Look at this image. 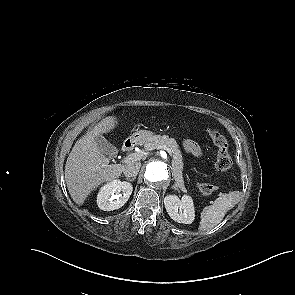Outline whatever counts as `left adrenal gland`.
<instances>
[{"mask_svg":"<svg viewBox=\"0 0 295 295\" xmlns=\"http://www.w3.org/2000/svg\"><path fill=\"white\" fill-rule=\"evenodd\" d=\"M172 187H173V189L178 190V187L176 184H174Z\"/></svg>","mask_w":295,"mask_h":295,"instance_id":"1","label":"left adrenal gland"}]
</instances>
